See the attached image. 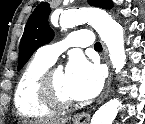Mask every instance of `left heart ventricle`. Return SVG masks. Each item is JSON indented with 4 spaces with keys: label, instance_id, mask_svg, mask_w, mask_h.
<instances>
[{
    "label": "left heart ventricle",
    "instance_id": "b2bd125f",
    "mask_svg": "<svg viewBox=\"0 0 145 124\" xmlns=\"http://www.w3.org/2000/svg\"><path fill=\"white\" fill-rule=\"evenodd\" d=\"M53 82L58 94L67 100H74L67 89L66 72L64 70L56 69L53 73Z\"/></svg>",
    "mask_w": 145,
    "mask_h": 124
}]
</instances>
